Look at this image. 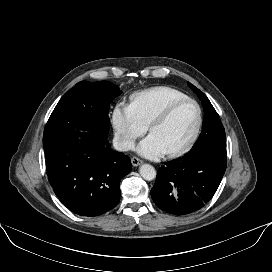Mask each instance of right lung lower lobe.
<instances>
[{"mask_svg":"<svg viewBox=\"0 0 272 272\" xmlns=\"http://www.w3.org/2000/svg\"><path fill=\"white\" fill-rule=\"evenodd\" d=\"M106 138L78 131L44 148L56 196L78 215L98 216L113 209L120 200V180L131 171L130 158L110 149Z\"/></svg>","mask_w":272,"mask_h":272,"instance_id":"1","label":"right lung lower lobe"}]
</instances>
